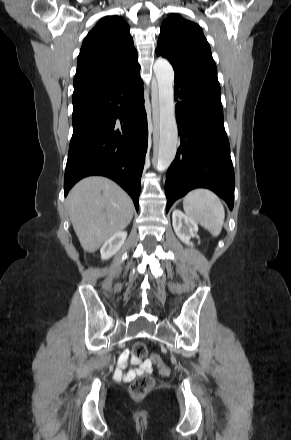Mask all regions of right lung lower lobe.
<instances>
[{"mask_svg":"<svg viewBox=\"0 0 291 440\" xmlns=\"http://www.w3.org/2000/svg\"><path fill=\"white\" fill-rule=\"evenodd\" d=\"M72 102L65 196L81 178L102 175L126 190L138 210L148 139L140 70L113 84L74 91Z\"/></svg>","mask_w":291,"mask_h":440,"instance_id":"obj_1","label":"right lung lower lobe"}]
</instances>
